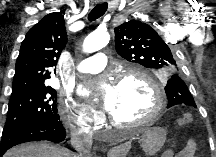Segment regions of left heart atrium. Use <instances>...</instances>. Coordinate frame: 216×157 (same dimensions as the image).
Masks as SVG:
<instances>
[{"label":"left heart atrium","instance_id":"left-heart-atrium-1","mask_svg":"<svg viewBox=\"0 0 216 157\" xmlns=\"http://www.w3.org/2000/svg\"><path fill=\"white\" fill-rule=\"evenodd\" d=\"M101 90H102L101 98H102L103 106L106 110L110 111L113 105L114 87H112L109 84L102 83ZM80 93L82 96L87 97L90 94V90L83 88L80 90Z\"/></svg>","mask_w":216,"mask_h":157}]
</instances>
